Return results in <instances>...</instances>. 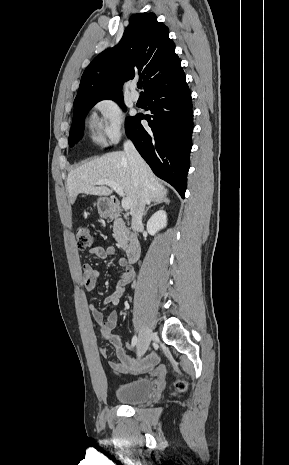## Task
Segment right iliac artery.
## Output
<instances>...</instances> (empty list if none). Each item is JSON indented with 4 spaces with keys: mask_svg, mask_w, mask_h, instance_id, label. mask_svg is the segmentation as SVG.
I'll return each mask as SVG.
<instances>
[{
    "mask_svg": "<svg viewBox=\"0 0 289 465\" xmlns=\"http://www.w3.org/2000/svg\"><path fill=\"white\" fill-rule=\"evenodd\" d=\"M137 342H138V338H137V336L135 335V336H133V338H132V346L134 347V346L137 344Z\"/></svg>",
    "mask_w": 289,
    "mask_h": 465,
    "instance_id": "1",
    "label": "right iliac artery"
}]
</instances>
